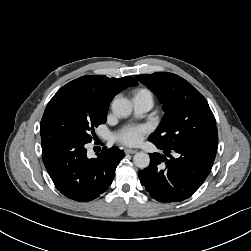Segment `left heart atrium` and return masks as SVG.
<instances>
[{
	"instance_id": "obj_1",
	"label": "left heart atrium",
	"mask_w": 251,
	"mask_h": 251,
	"mask_svg": "<svg viewBox=\"0 0 251 251\" xmlns=\"http://www.w3.org/2000/svg\"><path fill=\"white\" fill-rule=\"evenodd\" d=\"M144 127H129L124 129L118 136V140L125 145H137L145 133Z\"/></svg>"
}]
</instances>
